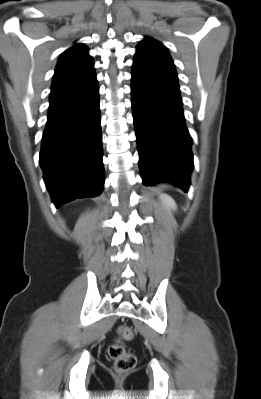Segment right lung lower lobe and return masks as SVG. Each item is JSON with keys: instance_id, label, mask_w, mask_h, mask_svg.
Listing matches in <instances>:
<instances>
[{"instance_id": "98d812e1", "label": "right lung lower lobe", "mask_w": 261, "mask_h": 399, "mask_svg": "<svg viewBox=\"0 0 261 399\" xmlns=\"http://www.w3.org/2000/svg\"><path fill=\"white\" fill-rule=\"evenodd\" d=\"M40 164L56 207L104 188L99 88L95 72L51 89Z\"/></svg>"}]
</instances>
